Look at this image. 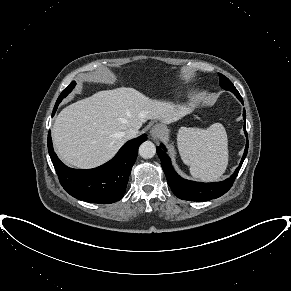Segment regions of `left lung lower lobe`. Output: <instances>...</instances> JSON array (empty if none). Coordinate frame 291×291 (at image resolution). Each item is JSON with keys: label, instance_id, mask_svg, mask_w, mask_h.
<instances>
[{"label": "left lung lower lobe", "instance_id": "obj_1", "mask_svg": "<svg viewBox=\"0 0 291 291\" xmlns=\"http://www.w3.org/2000/svg\"><path fill=\"white\" fill-rule=\"evenodd\" d=\"M237 98L243 103L242 97L237 95ZM243 119H246L245 109L243 110ZM244 132L247 138L245 151L241 162L234 173L224 181L214 183H201L193 182L181 178L174 170L170 157L166 153V148L163 144L157 147V154L161 159V166L166 175L168 185L170 186L173 193L180 199L188 201H207L218 198L225 194L233 185L238 172L244 162V159L248 151V136L246 127L244 125Z\"/></svg>", "mask_w": 291, "mask_h": 291}]
</instances>
